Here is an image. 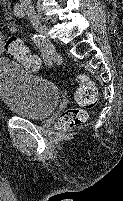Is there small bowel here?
I'll list each match as a JSON object with an SVG mask.
<instances>
[{
	"mask_svg": "<svg viewBox=\"0 0 123 201\" xmlns=\"http://www.w3.org/2000/svg\"><path fill=\"white\" fill-rule=\"evenodd\" d=\"M5 26L10 33H15L17 31V25L11 20H7L5 22ZM3 41H4V35L0 30V56L5 52L3 47Z\"/></svg>",
	"mask_w": 123,
	"mask_h": 201,
	"instance_id": "c3829d8e",
	"label": "small bowel"
}]
</instances>
